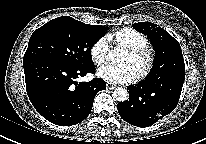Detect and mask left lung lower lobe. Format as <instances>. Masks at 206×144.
<instances>
[{
	"instance_id": "1",
	"label": "left lung lower lobe",
	"mask_w": 206,
	"mask_h": 144,
	"mask_svg": "<svg viewBox=\"0 0 206 144\" xmlns=\"http://www.w3.org/2000/svg\"><path fill=\"white\" fill-rule=\"evenodd\" d=\"M184 79L185 71H176L151 85L128 86L129 100L117 104L119 115L134 126L153 125L175 109Z\"/></svg>"
}]
</instances>
